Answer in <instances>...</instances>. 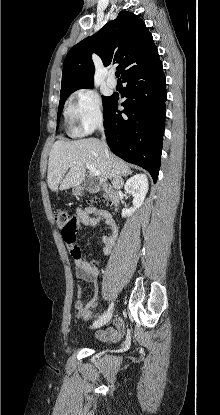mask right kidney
Masks as SVG:
<instances>
[{
  "mask_svg": "<svg viewBox=\"0 0 220 415\" xmlns=\"http://www.w3.org/2000/svg\"><path fill=\"white\" fill-rule=\"evenodd\" d=\"M148 179L145 174H136L125 183L124 189L126 193L133 196V207L122 210V217L131 216L137 209H139L148 192Z\"/></svg>",
  "mask_w": 220,
  "mask_h": 415,
  "instance_id": "ca27d5eb",
  "label": "right kidney"
}]
</instances>
